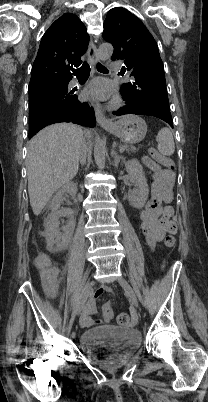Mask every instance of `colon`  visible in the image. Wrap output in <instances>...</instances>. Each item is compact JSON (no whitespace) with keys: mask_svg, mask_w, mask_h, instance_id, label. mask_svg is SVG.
Returning a JSON list of instances; mask_svg holds the SVG:
<instances>
[{"mask_svg":"<svg viewBox=\"0 0 208 402\" xmlns=\"http://www.w3.org/2000/svg\"><path fill=\"white\" fill-rule=\"evenodd\" d=\"M150 153L152 157L159 163L165 165V167L169 171H173L175 169V162L168 157L163 156L157 150L151 149ZM165 245L168 248H173L176 245V238L174 235H168L165 238ZM36 264L39 265L40 270L42 271V275H45V284L46 285H58L59 279L56 278V267L52 266L49 262L48 256H37ZM42 295H52L55 296L58 293L57 288L51 286H42L40 289ZM116 321L120 325H127L129 323V316L127 313L121 312L117 314Z\"/></svg>","mask_w":208,"mask_h":402,"instance_id":"colon-1","label":"colon"}]
</instances>
